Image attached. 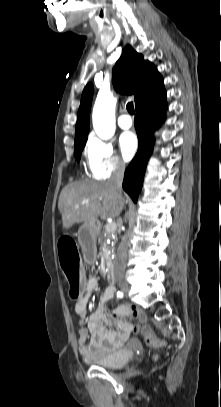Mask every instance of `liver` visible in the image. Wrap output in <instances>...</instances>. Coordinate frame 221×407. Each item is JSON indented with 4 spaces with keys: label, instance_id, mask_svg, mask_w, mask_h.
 <instances>
[{
    "label": "liver",
    "instance_id": "liver-1",
    "mask_svg": "<svg viewBox=\"0 0 221 407\" xmlns=\"http://www.w3.org/2000/svg\"><path fill=\"white\" fill-rule=\"evenodd\" d=\"M89 200L88 203L83 201ZM124 206V199L107 182H74L60 193L58 208L64 229L75 223H94L101 219L118 217Z\"/></svg>",
    "mask_w": 221,
    "mask_h": 407
}]
</instances>
